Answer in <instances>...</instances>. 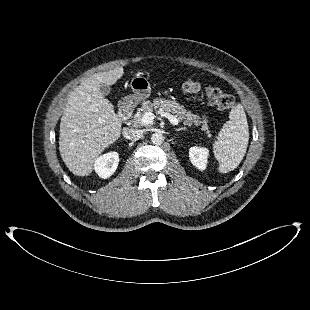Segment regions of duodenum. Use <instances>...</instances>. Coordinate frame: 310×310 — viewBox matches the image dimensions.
Returning <instances> with one entry per match:
<instances>
[{"mask_svg": "<svg viewBox=\"0 0 310 310\" xmlns=\"http://www.w3.org/2000/svg\"><path fill=\"white\" fill-rule=\"evenodd\" d=\"M133 106L130 99H125L119 106V118L122 122L127 121L132 114Z\"/></svg>", "mask_w": 310, "mask_h": 310, "instance_id": "obj_1", "label": "duodenum"}]
</instances>
